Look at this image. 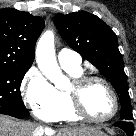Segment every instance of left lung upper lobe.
Returning a JSON list of instances; mask_svg holds the SVG:
<instances>
[{"label": "left lung upper lobe", "instance_id": "obj_1", "mask_svg": "<svg viewBox=\"0 0 136 136\" xmlns=\"http://www.w3.org/2000/svg\"><path fill=\"white\" fill-rule=\"evenodd\" d=\"M54 22L67 44L90 61L115 88L121 103L120 120L133 119L127 77L116 34L86 11L56 14Z\"/></svg>", "mask_w": 136, "mask_h": 136}]
</instances>
